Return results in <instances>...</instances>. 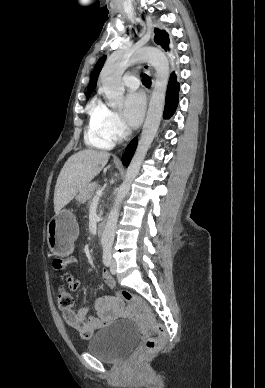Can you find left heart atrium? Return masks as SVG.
Segmentation results:
<instances>
[{"label":"left heart atrium","instance_id":"obj_1","mask_svg":"<svg viewBox=\"0 0 265 388\" xmlns=\"http://www.w3.org/2000/svg\"><path fill=\"white\" fill-rule=\"evenodd\" d=\"M144 110L145 100L141 92L136 91L125 96L122 115L126 122L133 126L137 125L143 117Z\"/></svg>","mask_w":265,"mask_h":388}]
</instances>
